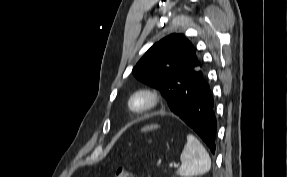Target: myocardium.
Returning <instances> with one entry per match:
<instances>
[{
    "instance_id": "f54148a6",
    "label": "myocardium",
    "mask_w": 287,
    "mask_h": 177,
    "mask_svg": "<svg viewBox=\"0 0 287 177\" xmlns=\"http://www.w3.org/2000/svg\"><path fill=\"white\" fill-rule=\"evenodd\" d=\"M138 100L143 101L142 105H137ZM161 101V94L155 88L141 87L129 96L127 109L134 116H143L158 108Z\"/></svg>"
}]
</instances>
